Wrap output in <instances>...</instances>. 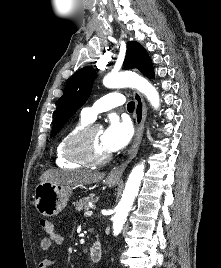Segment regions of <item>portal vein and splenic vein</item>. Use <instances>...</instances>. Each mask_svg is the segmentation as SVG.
Masks as SVG:
<instances>
[{
    "mask_svg": "<svg viewBox=\"0 0 221 268\" xmlns=\"http://www.w3.org/2000/svg\"><path fill=\"white\" fill-rule=\"evenodd\" d=\"M93 214V211L92 210H87L84 215L85 216H91Z\"/></svg>",
    "mask_w": 221,
    "mask_h": 268,
    "instance_id": "obj_1",
    "label": "portal vein and splenic vein"
}]
</instances>
